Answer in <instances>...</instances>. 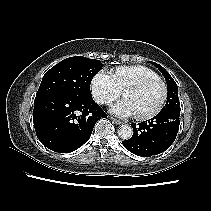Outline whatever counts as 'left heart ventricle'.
<instances>
[{"label":"left heart ventricle","instance_id":"left-heart-ventricle-1","mask_svg":"<svg viewBox=\"0 0 211 211\" xmlns=\"http://www.w3.org/2000/svg\"><path fill=\"white\" fill-rule=\"evenodd\" d=\"M162 95V86L153 83L141 90L128 91L124 97L131 102L135 114L142 115L152 112L160 103Z\"/></svg>","mask_w":211,"mask_h":211}]
</instances>
